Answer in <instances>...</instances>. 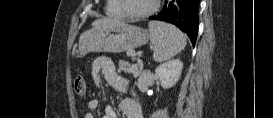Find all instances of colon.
Listing matches in <instances>:
<instances>
[{
    "instance_id": "5ec220e1",
    "label": "colon",
    "mask_w": 273,
    "mask_h": 118,
    "mask_svg": "<svg viewBox=\"0 0 273 118\" xmlns=\"http://www.w3.org/2000/svg\"><path fill=\"white\" fill-rule=\"evenodd\" d=\"M74 89L77 95L84 96L86 93V82L82 76L76 77L74 81Z\"/></svg>"
}]
</instances>
